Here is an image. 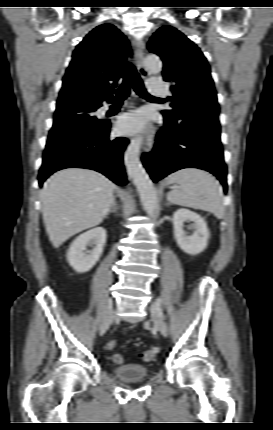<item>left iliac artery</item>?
Here are the masks:
<instances>
[{
    "label": "left iliac artery",
    "instance_id": "obj_1",
    "mask_svg": "<svg viewBox=\"0 0 273 430\" xmlns=\"http://www.w3.org/2000/svg\"><path fill=\"white\" fill-rule=\"evenodd\" d=\"M156 301H157V304H158L159 306H161V304H162V300H161V298H158Z\"/></svg>",
    "mask_w": 273,
    "mask_h": 430
}]
</instances>
